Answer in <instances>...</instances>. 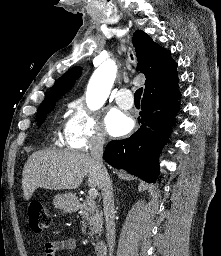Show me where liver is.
<instances>
[{
  "label": "liver",
  "instance_id": "6515ba94",
  "mask_svg": "<svg viewBox=\"0 0 221 256\" xmlns=\"http://www.w3.org/2000/svg\"><path fill=\"white\" fill-rule=\"evenodd\" d=\"M88 175V186L100 188V172L88 153L42 150L27 160L22 173V189L28 201L37 188L72 190Z\"/></svg>",
  "mask_w": 221,
  "mask_h": 256
}]
</instances>
